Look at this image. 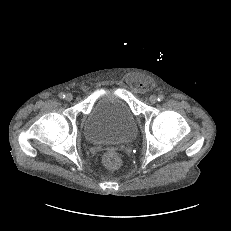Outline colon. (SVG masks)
<instances>
[{
  "label": "colon",
  "mask_w": 231,
  "mask_h": 231,
  "mask_svg": "<svg viewBox=\"0 0 231 231\" xmlns=\"http://www.w3.org/2000/svg\"><path fill=\"white\" fill-rule=\"evenodd\" d=\"M103 163L107 168L116 169L121 165V158L115 151H108L103 156Z\"/></svg>",
  "instance_id": "obj_1"
}]
</instances>
